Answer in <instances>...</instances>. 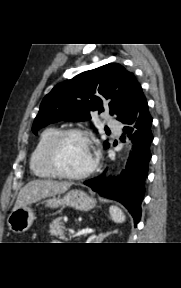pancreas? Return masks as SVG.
<instances>
[{
  "mask_svg": "<svg viewBox=\"0 0 181 288\" xmlns=\"http://www.w3.org/2000/svg\"><path fill=\"white\" fill-rule=\"evenodd\" d=\"M50 230L49 233L52 236L58 237L61 240L67 241L68 239L64 235L65 226L62 217H58L49 224Z\"/></svg>",
  "mask_w": 181,
  "mask_h": 288,
  "instance_id": "obj_1",
  "label": "pancreas"
}]
</instances>
